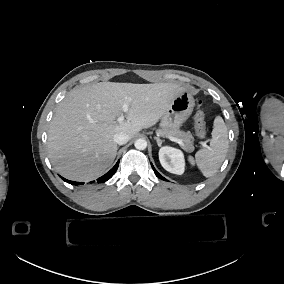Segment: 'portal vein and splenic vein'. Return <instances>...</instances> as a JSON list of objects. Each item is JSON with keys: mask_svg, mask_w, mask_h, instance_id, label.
Listing matches in <instances>:
<instances>
[{"mask_svg": "<svg viewBox=\"0 0 284 284\" xmlns=\"http://www.w3.org/2000/svg\"><path fill=\"white\" fill-rule=\"evenodd\" d=\"M129 109H130V106H129L128 104H124V105H123V108H122L123 112H122V114L118 117V121H119V122H124L125 117H126V115L128 114V112H129ZM170 139H171L172 141L178 143V144L181 145V146H185V143H184V142H188L187 139H181V138H177V137H171ZM199 144H200L201 146H206V142H205V141H199Z\"/></svg>", "mask_w": 284, "mask_h": 284, "instance_id": "18ae733b", "label": "portal vein and splenic vein"}]
</instances>
